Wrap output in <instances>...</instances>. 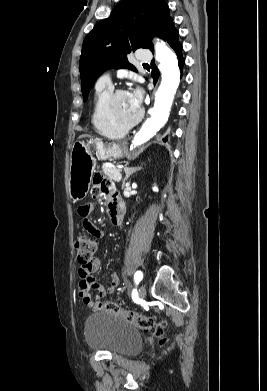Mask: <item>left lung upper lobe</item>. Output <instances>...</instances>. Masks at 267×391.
I'll return each instance as SVG.
<instances>
[{"instance_id":"left-lung-upper-lobe-1","label":"left lung upper lobe","mask_w":267,"mask_h":391,"mask_svg":"<svg viewBox=\"0 0 267 391\" xmlns=\"http://www.w3.org/2000/svg\"><path fill=\"white\" fill-rule=\"evenodd\" d=\"M173 26L164 0H122L83 42L79 65L83 100L105 70L136 71L127 54L139 48L152 50V35L163 39Z\"/></svg>"}]
</instances>
